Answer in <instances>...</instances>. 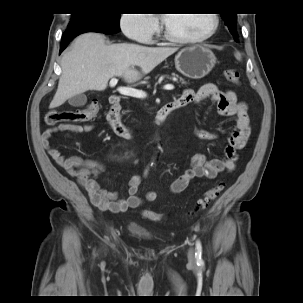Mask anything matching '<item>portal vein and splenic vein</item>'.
<instances>
[{"instance_id": "obj_1", "label": "portal vein and splenic vein", "mask_w": 303, "mask_h": 303, "mask_svg": "<svg viewBox=\"0 0 303 303\" xmlns=\"http://www.w3.org/2000/svg\"><path fill=\"white\" fill-rule=\"evenodd\" d=\"M117 82H118L117 78H112L110 80V83H109L110 87H115ZM163 89L173 90L174 86L172 84H166V85H164ZM118 91L122 95L131 96V97H134V98L142 99V98H145L147 96V93L145 91L130 88V87H120L118 89Z\"/></svg>"}]
</instances>
